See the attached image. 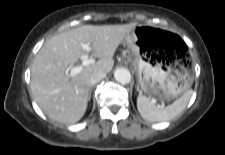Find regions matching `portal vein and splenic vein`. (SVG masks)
I'll return each instance as SVG.
<instances>
[{
	"instance_id": "1",
	"label": "portal vein and splenic vein",
	"mask_w": 225,
	"mask_h": 155,
	"mask_svg": "<svg viewBox=\"0 0 225 155\" xmlns=\"http://www.w3.org/2000/svg\"><path fill=\"white\" fill-rule=\"evenodd\" d=\"M82 49L89 52V51H92V48L90 46L89 43L87 44H82ZM92 63H95V60L92 59V58H87V57H83V61H82V65L80 66H76V67H70L69 68V71H70V76H75L77 75L78 73H80L82 70H83V67L84 66H88Z\"/></svg>"
}]
</instances>
